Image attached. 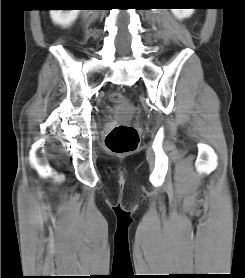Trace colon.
<instances>
[{
    "mask_svg": "<svg viewBox=\"0 0 245 278\" xmlns=\"http://www.w3.org/2000/svg\"><path fill=\"white\" fill-rule=\"evenodd\" d=\"M111 100L115 103L125 105L128 99L120 93L111 95ZM139 134L132 125H116L106 136V148L114 154H129L138 148Z\"/></svg>",
    "mask_w": 245,
    "mask_h": 278,
    "instance_id": "1",
    "label": "colon"
}]
</instances>
